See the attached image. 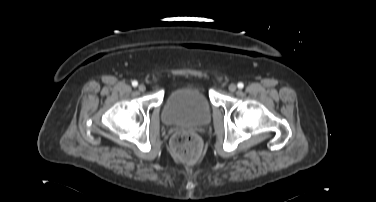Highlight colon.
Listing matches in <instances>:
<instances>
[{"label":"colon","mask_w":376,"mask_h":202,"mask_svg":"<svg viewBox=\"0 0 376 202\" xmlns=\"http://www.w3.org/2000/svg\"><path fill=\"white\" fill-rule=\"evenodd\" d=\"M170 148L177 159L183 162H193L201 154L202 141L195 133L178 131L171 138Z\"/></svg>","instance_id":"colon-1"}]
</instances>
